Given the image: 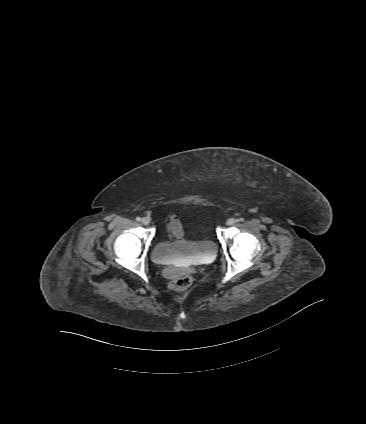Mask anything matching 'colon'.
<instances>
[{
  "mask_svg": "<svg viewBox=\"0 0 366 424\" xmlns=\"http://www.w3.org/2000/svg\"><path fill=\"white\" fill-rule=\"evenodd\" d=\"M191 277L189 275H182L176 278L171 284L170 288L176 292L185 291L191 284Z\"/></svg>",
  "mask_w": 366,
  "mask_h": 424,
  "instance_id": "5ec220e1",
  "label": "colon"
}]
</instances>
